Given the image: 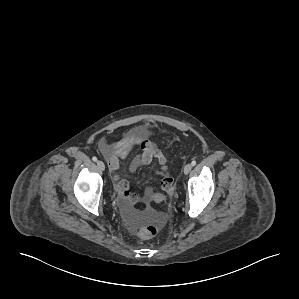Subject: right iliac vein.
Wrapping results in <instances>:
<instances>
[{
    "instance_id": "obj_1",
    "label": "right iliac vein",
    "mask_w": 299,
    "mask_h": 299,
    "mask_svg": "<svg viewBox=\"0 0 299 299\" xmlns=\"http://www.w3.org/2000/svg\"><path fill=\"white\" fill-rule=\"evenodd\" d=\"M97 166L100 170H104L105 169V164L102 161H97Z\"/></svg>"
}]
</instances>
